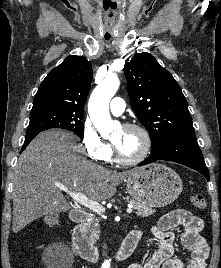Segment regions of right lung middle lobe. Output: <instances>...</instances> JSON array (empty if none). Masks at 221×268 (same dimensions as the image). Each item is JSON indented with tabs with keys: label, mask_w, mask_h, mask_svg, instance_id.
<instances>
[{
	"label": "right lung middle lobe",
	"mask_w": 221,
	"mask_h": 268,
	"mask_svg": "<svg viewBox=\"0 0 221 268\" xmlns=\"http://www.w3.org/2000/svg\"><path fill=\"white\" fill-rule=\"evenodd\" d=\"M83 114V112L64 109L31 111L27 135L38 134L50 128H62L74 132L81 139H83Z\"/></svg>",
	"instance_id": "1"
}]
</instances>
